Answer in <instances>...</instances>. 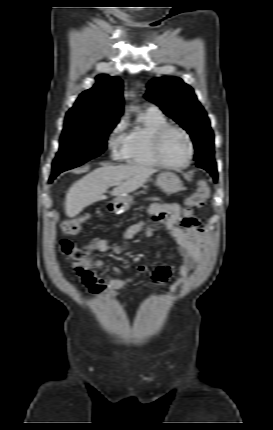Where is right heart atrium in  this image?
<instances>
[{"instance_id": "1", "label": "right heart atrium", "mask_w": 273, "mask_h": 430, "mask_svg": "<svg viewBox=\"0 0 273 430\" xmlns=\"http://www.w3.org/2000/svg\"><path fill=\"white\" fill-rule=\"evenodd\" d=\"M124 127V120H120L111 130L107 141L108 149L114 159H123L125 155L126 136L123 133Z\"/></svg>"}]
</instances>
